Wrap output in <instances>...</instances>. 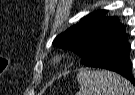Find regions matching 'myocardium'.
Returning <instances> with one entry per match:
<instances>
[{
    "instance_id": "obj_1",
    "label": "myocardium",
    "mask_w": 135,
    "mask_h": 95,
    "mask_svg": "<svg viewBox=\"0 0 135 95\" xmlns=\"http://www.w3.org/2000/svg\"><path fill=\"white\" fill-rule=\"evenodd\" d=\"M61 59V56H57L54 60L53 63H58Z\"/></svg>"
}]
</instances>
